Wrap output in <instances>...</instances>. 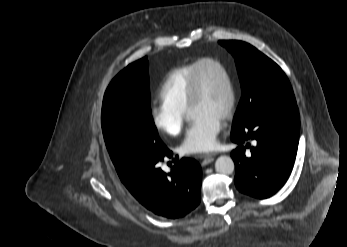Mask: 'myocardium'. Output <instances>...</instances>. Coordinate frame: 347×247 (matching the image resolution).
Listing matches in <instances>:
<instances>
[{
    "label": "myocardium",
    "instance_id": "f54148a6",
    "mask_svg": "<svg viewBox=\"0 0 347 247\" xmlns=\"http://www.w3.org/2000/svg\"><path fill=\"white\" fill-rule=\"evenodd\" d=\"M206 64L216 66L218 69L221 70V72L225 76L229 98L222 119L228 120L233 115L236 106V89L234 80L228 67L222 61L212 57H205L199 59L193 70L188 90L187 110L189 111L192 105H194L200 99L201 85L199 78V70L203 65Z\"/></svg>",
    "mask_w": 347,
    "mask_h": 247
}]
</instances>
